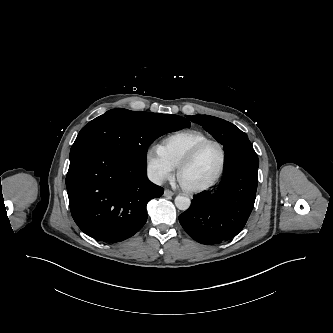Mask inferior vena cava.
Here are the masks:
<instances>
[{
	"label": "inferior vena cava",
	"instance_id": "602c4592",
	"mask_svg": "<svg viewBox=\"0 0 333 333\" xmlns=\"http://www.w3.org/2000/svg\"><path fill=\"white\" fill-rule=\"evenodd\" d=\"M148 178L151 182L157 185H162L164 182V178L157 172L149 170L148 173Z\"/></svg>",
	"mask_w": 333,
	"mask_h": 333
}]
</instances>
